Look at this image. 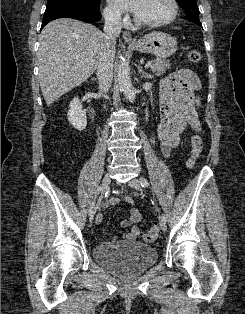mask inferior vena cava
I'll list each match as a JSON object with an SVG mask.
<instances>
[{"instance_id": "obj_1", "label": "inferior vena cava", "mask_w": 245, "mask_h": 314, "mask_svg": "<svg viewBox=\"0 0 245 314\" xmlns=\"http://www.w3.org/2000/svg\"><path fill=\"white\" fill-rule=\"evenodd\" d=\"M105 42L97 65V77L100 94L108 91L113 80V62L116 39L121 32V12L109 10L104 13Z\"/></svg>"}]
</instances>
